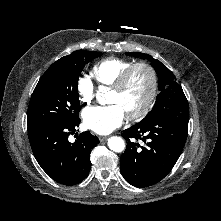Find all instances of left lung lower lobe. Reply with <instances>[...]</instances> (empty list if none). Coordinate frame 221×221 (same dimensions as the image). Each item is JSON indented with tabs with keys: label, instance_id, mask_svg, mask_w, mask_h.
Returning a JSON list of instances; mask_svg holds the SVG:
<instances>
[{
	"label": "left lung lower lobe",
	"instance_id": "0a47b994",
	"mask_svg": "<svg viewBox=\"0 0 221 221\" xmlns=\"http://www.w3.org/2000/svg\"><path fill=\"white\" fill-rule=\"evenodd\" d=\"M188 121V102L180 92L172 97L166 112L124 130L122 136L127 147L120 158V171L126 181L135 187H148L161 181L182 152Z\"/></svg>",
	"mask_w": 221,
	"mask_h": 221
}]
</instances>
